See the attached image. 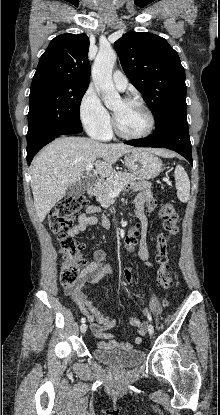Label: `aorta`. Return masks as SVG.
Listing matches in <instances>:
<instances>
[{
	"mask_svg": "<svg viewBox=\"0 0 220 415\" xmlns=\"http://www.w3.org/2000/svg\"><path fill=\"white\" fill-rule=\"evenodd\" d=\"M116 53L111 48L100 49L92 68V78L97 91L107 107L120 102V95L115 90L112 70L116 62Z\"/></svg>",
	"mask_w": 220,
	"mask_h": 415,
	"instance_id": "obj_1",
	"label": "aorta"
}]
</instances>
